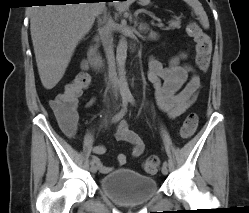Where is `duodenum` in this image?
<instances>
[{
    "label": "duodenum",
    "mask_w": 249,
    "mask_h": 213,
    "mask_svg": "<svg viewBox=\"0 0 249 213\" xmlns=\"http://www.w3.org/2000/svg\"><path fill=\"white\" fill-rule=\"evenodd\" d=\"M88 63L95 69L100 70L103 66V60L100 57L95 44L90 45L88 50Z\"/></svg>",
    "instance_id": "duodenum-1"
}]
</instances>
